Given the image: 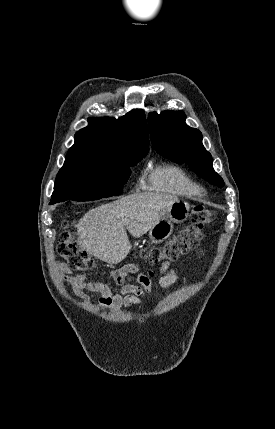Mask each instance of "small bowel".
Wrapping results in <instances>:
<instances>
[{
    "label": "small bowel",
    "mask_w": 275,
    "mask_h": 429,
    "mask_svg": "<svg viewBox=\"0 0 275 429\" xmlns=\"http://www.w3.org/2000/svg\"><path fill=\"white\" fill-rule=\"evenodd\" d=\"M62 271L61 279L70 284L75 294L82 300H86V291H94L101 294L100 303L104 308L118 310L122 307L132 308L140 305L142 299L151 292L154 272L147 274L138 273L139 266L127 264L114 273V280L120 286L119 292H113L109 286L100 281H89L86 275H72L65 265H60ZM162 276L158 283L161 287L167 288L176 282L178 275L170 269L169 263H164L160 269ZM128 275H136V284H132L127 279Z\"/></svg>",
    "instance_id": "1"
}]
</instances>
